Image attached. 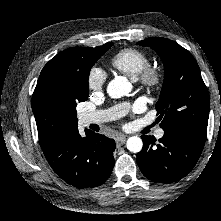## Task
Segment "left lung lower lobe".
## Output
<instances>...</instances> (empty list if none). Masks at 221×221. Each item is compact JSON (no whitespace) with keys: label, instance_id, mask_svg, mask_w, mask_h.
Instances as JSON below:
<instances>
[{"label":"left lung lower lobe","instance_id":"obj_1","mask_svg":"<svg viewBox=\"0 0 221 221\" xmlns=\"http://www.w3.org/2000/svg\"><path fill=\"white\" fill-rule=\"evenodd\" d=\"M143 149L137 154L138 166L148 179L172 183L186 176L197 163L205 141L186 133L164 131L156 143L154 136H141Z\"/></svg>","mask_w":221,"mask_h":221}]
</instances>
